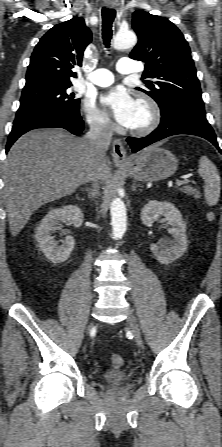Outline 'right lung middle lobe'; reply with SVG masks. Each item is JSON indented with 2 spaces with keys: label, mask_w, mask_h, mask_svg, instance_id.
<instances>
[{
  "label": "right lung middle lobe",
  "mask_w": 222,
  "mask_h": 447,
  "mask_svg": "<svg viewBox=\"0 0 222 447\" xmlns=\"http://www.w3.org/2000/svg\"><path fill=\"white\" fill-rule=\"evenodd\" d=\"M68 85H50L24 89L14 123L46 116L61 110L79 109L80 100L70 93Z\"/></svg>",
  "instance_id": "obj_1"
}]
</instances>
